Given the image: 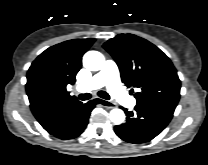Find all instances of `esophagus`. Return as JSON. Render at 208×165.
<instances>
[{"label":"esophagus","mask_w":208,"mask_h":165,"mask_svg":"<svg viewBox=\"0 0 208 165\" xmlns=\"http://www.w3.org/2000/svg\"><path fill=\"white\" fill-rule=\"evenodd\" d=\"M94 102L99 104L100 106H103V107H106V108H114L116 106L115 103L104 100V99L99 98V97H95Z\"/></svg>","instance_id":"esophagus-1"}]
</instances>
